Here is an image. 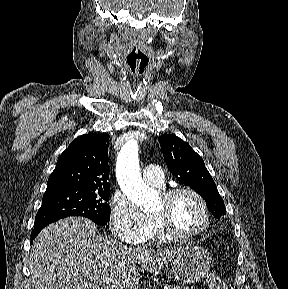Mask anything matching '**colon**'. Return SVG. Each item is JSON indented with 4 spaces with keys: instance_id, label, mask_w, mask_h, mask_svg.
Here are the masks:
<instances>
[{
    "instance_id": "obj_1",
    "label": "colon",
    "mask_w": 288,
    "mask_h": 289,
    "mask_svg": "<svg viewBox=\"0 0 288 289\" xmlns=\"http://www.w3.org/2000/svg\"><path fill=\"white\" fill-rule=\"evenodd\" d=\"M206 284L207 289H228L225 280L213 271L207 274Z\"/></svg>"
}]
</instances>
